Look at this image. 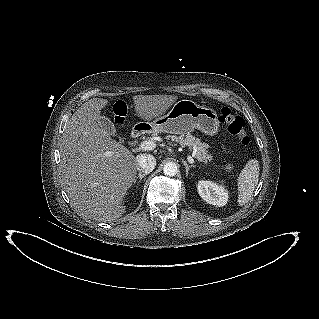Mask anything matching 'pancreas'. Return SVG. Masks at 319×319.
Here are the masks:
<instances>
[{
  "label": "pancreas",
  "instance_id": "1",
  "mask_svg": "<svg viewBox=\"0 0 319 319\" xmlns=\"http://www.w3.org/2000/svg\"><path fill=\"white\" fill-rule=\"evenodd\" d=\"M167 139L171 141H175L179 143L182 147L188 146L190 150L195 152V158L200 163L204 165H208L209 162H212L213 156L208 151V145L206 143H202L199 138L194 137L191 134L181 135L180 137L177 136H167ZM233 169V165L227 164L224 167L226 172H231Z\"/></svg>",
  "mask_w": 319,
  "mask_h": 319
}]
</instances>
